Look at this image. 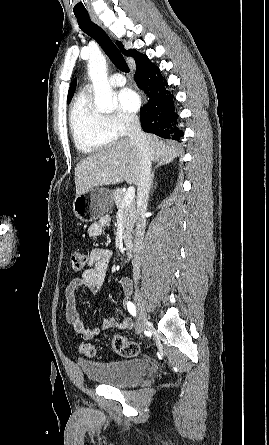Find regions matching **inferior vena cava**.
Segmentation results:
<instances>
[{
    "instance_id": "obj_1",
    "label": "inferior vena cava",
    "mask_w": 269,
    "mask_h": 445,
    "mask_svg": "<svg viewBox=\"0 0 269 445\" xmlns=\"http://www.w3.org/2000/svg\"><path fill=\"white\" fill-rule=\"evenodd\" d=\"M128 139L134 142L138 148L140 155V177L137 184V223L134 238V259L133 274L134 279L139 275L140 258L143 253V239L145 232V212L149 191L151 188V154L146 138V134L142 131L140 121L136 116H130L127 119Z\"/></svg>"
}]
</instances>
